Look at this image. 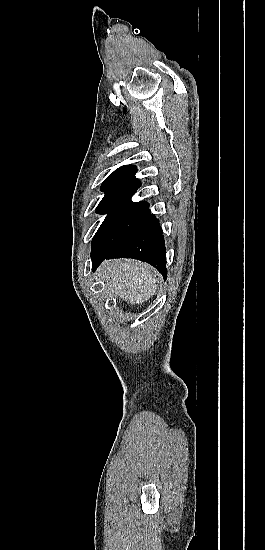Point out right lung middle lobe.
Wrapping results in <instances>:
<instances>
[{
	"label": "right lung middle lobe",
	"instance_id": "dd1d6c3e",
	"mask_svg": "<svg viewBox=\"0 0 265 550\" xmlns=\"http://www.w3.org/2000/svg\"><path fill=\"white\" fill-rule=\"evenodd\" d=\"M136 191L127 189L105 194L96 212L108 215L93 237L91 254L111 250L149 210L147 202L131 201Z\"/></svg>",
	"mask_w": 265,
	"mask_h": 550
}]
</instances>
